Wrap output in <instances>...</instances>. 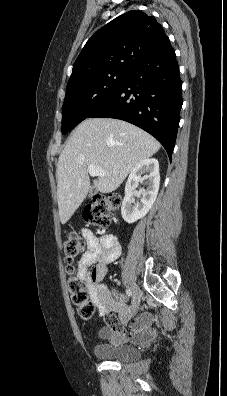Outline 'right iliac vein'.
Returning a JSON list of instances; mask_svg holds the SVG:
<instances>
[{"label": "right iliac vein", "mask_w": 227, "mask_h": 396, "mask_svg": "<svg viewBox=\"0 0 227 396\" xmlns=\"http://www.w3.org/2000/svg\"><path fill=\"white\" fill-rule=\"evenodd\" d=\"M131 288L133 293L132 308L135 312L139 308L142 294L140 288L136 284H132Z\"/></svg>", "instance_id": "obj_1"}]
</instances>
